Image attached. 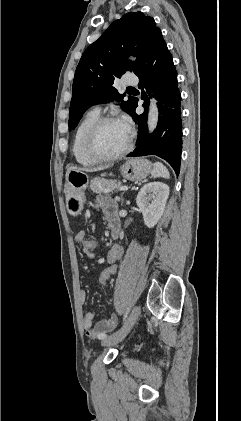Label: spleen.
Here are the masks:
<instances>
[{
  "instance_id": "obj_1",
  "label": "spleen",
  "mask_w": 241,
  "mask_h": 421,
  "mask_svg": "<svg viewBox=\"0 0 241 421\" xmlns=\"http://www.w3.org/2000/svg\"><path fill=\"white\" fill-rule=\"evenodd\" d=\"M151 175L153 178H159V177L166 178V179L170 178L168 169L161 162H156L153 165Z\"/></svg>"
}]
</instances>
